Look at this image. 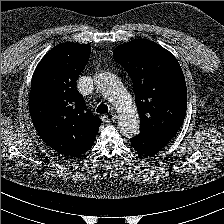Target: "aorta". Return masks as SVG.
Wrapping results in <instances>:
<instances>
[{
    "label": "aorta",
    "mask_w": 224,
    "mask_h": 224,
    "mask_svg": "<svg viewBox=\"0 0 224 224\" xmlns=\"http://www.w3.org/2000/svg\"><path fill=\"white\" fill-rule=\"evenodd\" d=\"M96 84L119 113V130L126 137L139 133L140 120L136 105L118 78L111 73H101Z\"/></svg>",
    "instance_id": "obj_1"
}]
</instances>
